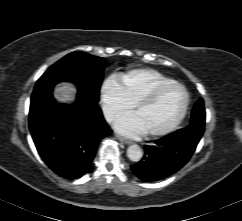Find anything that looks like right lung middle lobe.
I'll list each match as a JSON object with an SVG mask.
<instances>
[{
	"label": "right lung middle lobe",
	"instance_id": "obj_1",
	"mask_svg": "<svg viewBox=\"0 0 242 221\" xmlns=\"http://www.w3.org/2000/svg\"><path fill=\"white\" fill-rule=\"evenodd\" d=\"M108 62L82 51L70 53L52 65L37 81L31 100L52 92L54 85L71 81L89 102L97 104L103 71Z\"/></svg>",
	"mask_w": 242,
	"mask_h": 221
}]
</instances>
